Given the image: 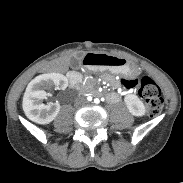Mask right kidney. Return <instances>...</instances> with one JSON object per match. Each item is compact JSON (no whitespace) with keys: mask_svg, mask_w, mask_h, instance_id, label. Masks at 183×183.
<instances>
[{"mask_svg":"<svg viewBox=\"0 0 183 183\" xmlns=\"http://www.w3.org/2000/svg\"><path fill=\"white\" fill-rule=\"evenodd\" d=\"M52 86L65 90L68 86L67 78L59 73H48L37 76L28 84L22 106L25 115L31 121L38 124H49L58 115L60 111L58 103H43L47 96L45 90Z\"/></svg>","mask_w":183,"mask_h":183,"instance_id":"ca27d5eb","label":"right kidney"}]
</instances>
